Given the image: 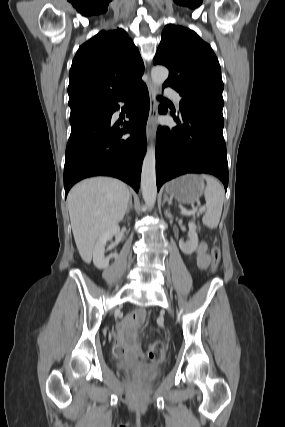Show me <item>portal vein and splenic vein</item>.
I'll return each instance as SVG.
<instances>
[{
  "instance_id": "1",
  "label": "portal vein and splenic vein",
  "mask_w": 285,
  "mask_h": 427,
  "mask_svg": "<svg viewBox=\"0 0 285 427\" xmlns=\"http://www.w3.org/2000/svg\"><path fill=\"white\" fill-rule=\"evenodd\" d=\"M204 208H200L199 211H204ZM196 212H198L197 209H193V210H182L181 213L184 215H194Z\"/></svg>"
}]
</instances>
